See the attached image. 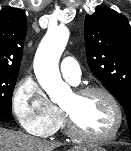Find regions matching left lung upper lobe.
Masks as SVG:
<instances>
[{
	"instance_id": "1",
	"label": "left lung upper lobe",
	"mask_w": 131,
	"mask_h": 151,
	"mask_svg": "<svg viewBox=\"0 0 131 151\" xmlns=\"http://www.w3.org/2000/svg\"><path fill=\"white\" fill-rule=\"evenodd\" d=\"M89 67L117 98L126 113L131 133V26L128 19L106 6L85 17Z\"/></svg>"
}]
</instances>
